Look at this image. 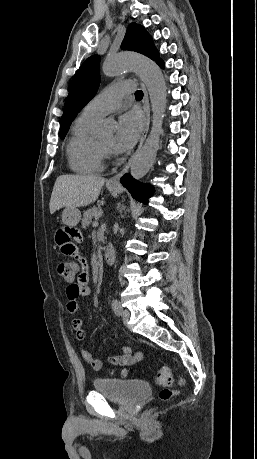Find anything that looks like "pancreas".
Instances as JSON below:
<instances>
[{
  "label": "pancreas",
  "instance_id": "pancreas-1",
  "mask_svg": "<svg viewBox=\"0 0 257 459\" xmlns=\"http://www.w3.org/2000/svg\"><path fill=\"white\" fill-rule=\"evenodd\" d=\"M100 211L101 210L96 206L89 208L87 211H85L82 219V227H88L91 224L92 219L98 217Z\"/></svg>",
  "mask_w": 257,
  "mask_h": 459
}]
</instances>
